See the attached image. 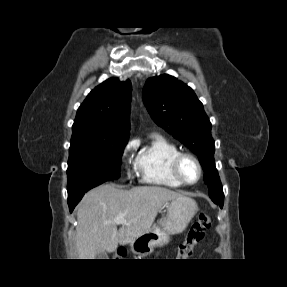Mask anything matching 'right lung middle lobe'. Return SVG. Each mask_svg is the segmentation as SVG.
Returning a JSON list of instances; mask_svg holds the SVG:
<instances>
[{
    "label": "right lung middle lobe",
    "instance_id": "1",
    "mask_svg": "<svg viewBox=\"0 0 287 287\" xmlns=\"http://www.w3.org/2000/svg\"><path fill=\"white\" fill-rule=\"evenodd\" d=\"M126 138H101L89 131L73 132L67 169L68 194L93 182L120 177L121 157Z\"/></svg>",
    "mask_w": 287,
    "mask_h": 287
}]
</instances>
